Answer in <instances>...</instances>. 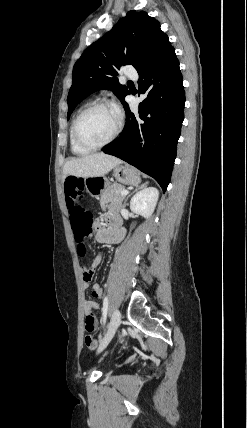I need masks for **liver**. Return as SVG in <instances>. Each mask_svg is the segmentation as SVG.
<instances>
[{
	"mask_svg": "<svg viewBox=\"0 0 247 428\" xmlns=\"http://www.w3.org/2000/svg\"><path fill=\"white\" fill-rule=\"evenodd\" d=\"M120 163H122V160L119 158L104 153H95L80 158H72L64 165L63 178L67 176L82 178L101 177Z\"/></svg>",
	"mask_w": 247,
	"mask_h": 428,
	"instance_id": "1",
	"label": "liver"
}]
</instances>
